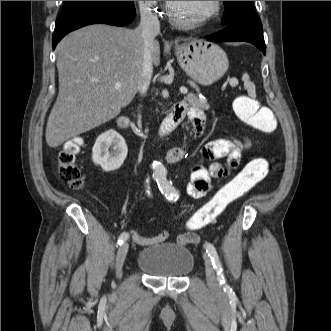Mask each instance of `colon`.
Here are the masks:
<instances>
[{
	"label": "colon",
	"instance_id": "1",
	"mask_svg": "<svg viewBox=\"0 0 331 331\" xmlns=\"http://www.w3.org/2000/svg\"><path fill=\"white\" fill-rule=\"evenodd\" d=\"M234 111L242 122L254 130L271 133L277 129V121L273 112L269 108L261 106L251 96L237 97L234 101ZM80 146V141L73 139L67 142L57 154L58 174L74 189H79L84 183L81 170L76 162ZM268 172L269 162L267 159H253L191 216L188 221V228L196 230L214 223L229 205L245 196L265 179ZM180 240L184 244H196L199 242V236L193 232H188L182 235Z\"/></svg>",
	"mask_w": 331,
	"mask_h": 331
}]
</instances>
